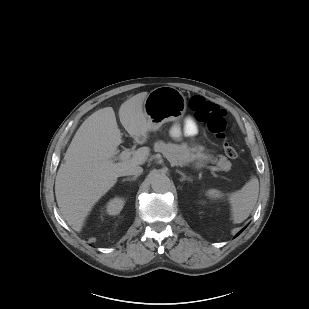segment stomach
I'll return each instance as SVG.
<instances>
[{
	"instance_id": "1",
	"label": "stomach",
	"mask_w": 309,
	"mask_h": 309,
	"mask_svg": "<svg viewBox=\"0 0 309 309\" xmlns=\"http://www.w3.org/2000/svg\"><path fill=\"white\" fill-rule=\"evenodd\" d=\"M186 111V98L181 91L174 87H157L149 92L144 101V113L150 122V130L159 129L168 121H179ZM189 161L202 164L209 160V155L203 152L201 146L188 147L183 144Z\"/></svg>"
}]
</instances>
